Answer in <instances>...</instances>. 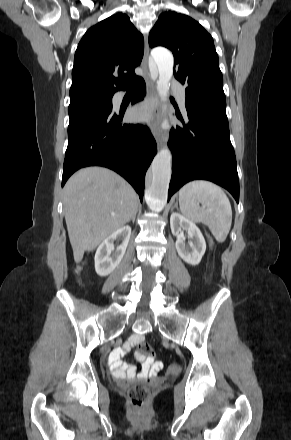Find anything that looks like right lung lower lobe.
<instances>
[{
	"label": "right lung lower lobe",
	"mask_w": 291,
	"mask_h": 440,
	"mask_svg": "<svg viewBox=\"0 0 291 440\" xmlns=\"http://www.w3.org/2000/svg\"><path fill=\"white\" fill-rule=\"evenodd\" d=\"M133 103L143 99L146 85L134 82ZM68 147L63 165L62 186L78 169L91 165L110 168L123 176L143 200L145 174L156 154V143L147 127L122 124L124 113L114 112L109 103L96 100L70 102Z\"/></svg>",
	"instance_id": "obj_1"
}]
</instances>
